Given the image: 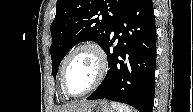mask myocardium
<instances>
[{
  "mask_svg": "<svg viewBox=\"0 0 193 112\" xmlns=\"http://www.w3.org/2000/svg\"><path fill=\"white\" fill-rule=\"evenodd\" d=\"M88 50L93 53L97 61V72L92 84L84 91L73 94L69 91L66 82V70L71 58L78 52ZM108 68L107 56L102 47L93 41H87L72 48L63 60L61 67V86L63 92L70 97H81L95 90L104 79Z\"/></svg>",
  "mask_w": 193,
  "mask_h": 112,
  "instance_id": "1",
  "label": "myocardium"
}]
</instances>
